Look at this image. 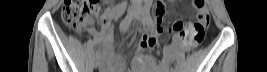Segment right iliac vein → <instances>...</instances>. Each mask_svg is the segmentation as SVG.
Wrapping results in <instances>:
<instances>
[{"instance_id":"1","label":"right iliac vein","mask_w":267,"mask_h":72,"mask_svg":"<svg viewBox=\"0 0 267 72\" xmlns=\"http://www.w3.org/2000/svg\"><path fill=\"white\" fill-rule=\"evenodd\" d=\"M99 61H100L99 57L96 58V60H95V67H96V68L99 66Z\"/></svg>"}]
</instances>
